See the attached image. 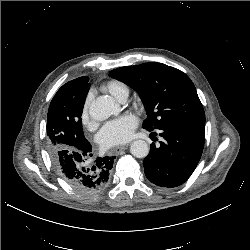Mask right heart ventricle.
Returning a JSON list of instances; mask_svg holds the SVG:
<instances>
[{
    "mask_svg": "<svg viewBox=\"0 0 250 250\" xmlns=\"http://www.w3.org/2000/svg\"><path fill=\"white\" fill-rule=\"evenodd\" d=\"M101 90L109 94L115 100L120 101L129 95V87L120 80H110L101 86Z\"/></svg>",
    "mask_w": 250,
    "mask_h": 250,
    "instance_id": "1",
    "label": "right heart ventricle"
}]
</instances>
